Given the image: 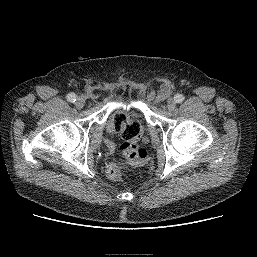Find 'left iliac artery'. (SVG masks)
Masks as SVG:
<instances>
[{"label": "left iliac artery", "instance_id": "left-iliac-artery-1", "mask_svg": "<svg viewBox=\"0 0 257 257\" xmlns=\"http://www.w3.org/2000/svg\"><path fill=\"white\" fill-rule=\"evenodd\" d=\"M184 96L182 94H176L174 96V100L176 103H182L184 101Z\"/></svg>", "mask_w": 257, "mask_h": 257}]
</instances>
